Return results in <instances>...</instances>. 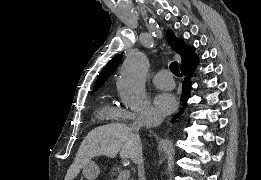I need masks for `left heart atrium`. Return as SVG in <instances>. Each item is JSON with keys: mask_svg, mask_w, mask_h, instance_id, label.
<instances>
[{"mask_svg": "<svg viewBox=\"0 0 261 180\" xmlns=\"http://www.w3.org/2000/svg\"><path fill=\"white\" fill-rule=\"evenodd\" d=\"M176 107L175 97L166 91L157 93L154 97L153 109L161 114H168Z\"/></svg>", "mask_w": 261, "mask_h": 180, "instance_id": "1", "label": "left heart atrium"}]
</instances>
